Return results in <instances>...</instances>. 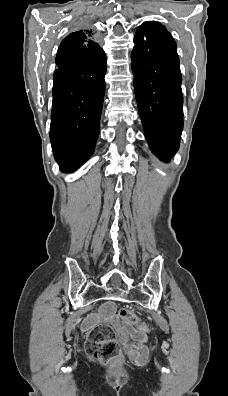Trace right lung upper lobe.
Masks as SVG:
<instances>
[{
  "instance_id": "cb5924a9",
  "label": "right lung upper lobe",
  "mask_w": 228,
  "mask_h": 396,
  "mask_svg": "<svg viewBox=\"0 0 228 396\" xmlns=\"http://www.w3.org/2000/svg\"><path fill=\"white\" fill-rule=\"evenodd\" d=\"M94 33L92 30L84 29V30H77L71 34H69L66 38L63 39L61 44H71L77 50L86 51L87 47L94 48L96 44L92 41Z\"/></svg>"
}]
</instances>
